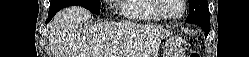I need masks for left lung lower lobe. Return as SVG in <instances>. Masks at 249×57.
<instances>
[{
  "instance_id": "left-lung-lower-lobe-1",
  "label": "left lung lower lobe",
  "mask_w": 249,
  "mask_h": 57,
  "mask_svg": "<svg viewBox=\"0 0 249 57\" xmlns=\"http://www.w3.org/2000/svg\"><path fill=\"white\" fill-rule=\"evenodd\" d=\"M196 24L202 27V29L205 31V37H206L209 33L210 23L208 24V23L197 22Z\"/></svg>"
}]
</instances>
